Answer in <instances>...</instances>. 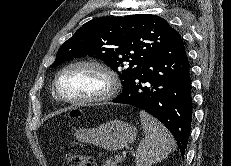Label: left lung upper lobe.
<instances>
[{
    "instance_id": "left-lung-upper-lobe-1",
    "label": "left lung upper lobe",
    "mask_w": 231,
    "mask_h": 166,
    "mask_svg": "<svg viewBox=\"0 0 231 166\" xmlns=\"http://www.w3.org/2000/svg\"><path fill=\"white\" fill-rule=\"evenodd\" d=\"M175 32L166 20L155 15L100 17L85 23L62 44L51 67L87 55L99 58L119 73L124 89Z\"/></svg>"
}]
</instances>
